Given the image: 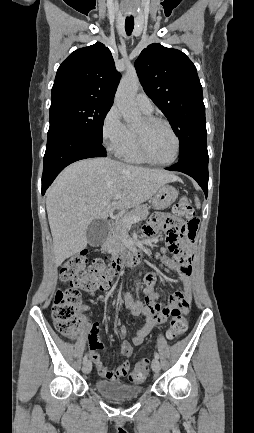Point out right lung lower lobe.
Instances as JSON below:
<instances>
[{
  "instance_id": "right-lung-lower-lobe-1",
  "label": "right lung lower lobe",
  "mask_w": 254,
  "mask_h": 433,
  "mask_svg": "<svg viewBox=\"0 0 254 433\" xmlns=\"http://www.w3.org/2000/svg\"><path fill=\"white\" fill-rule=\"evenodd\" d=\"M91 157H106L102 143L68 126L51 125L44 155L42 195L66 166Z\"/></svg>"
}]
</instances>
